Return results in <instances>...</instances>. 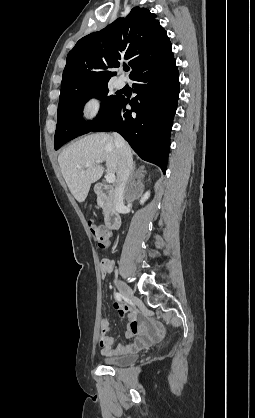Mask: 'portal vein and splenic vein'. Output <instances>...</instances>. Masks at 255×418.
<instances>
[{
  "instance_id": "obj_1",
  "label": "portal vein and splenic vein",
  "mask_w": 255,
  "mask_h": 418,
  "mask_svg": "<svg viewBox=\"0 0 255 418\" xmlns=\"http://www.w3.org/2000/svg\"><path fill=\"white\" fill-rule=\"evenodd\" d=\"M78 168H81V166H78ZM106 182L107 183H114L115 182V174L113 173H108L106 176Z\"/></svg>"
}]
</instances>
